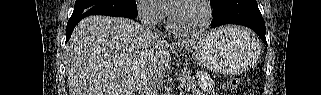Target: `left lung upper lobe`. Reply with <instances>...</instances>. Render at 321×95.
<instances>
[{
  "label": "left lung upper lobe",
  "instance_id": "1",
  "mask_svg": "<svg viewBox=\"0 0 321 95\" xmlns=\"http://www.w3.org/2000/svg\"><path fill=\"white\" fill-rule=\"evenodd\" d=\"M221 0H210L211 6L218 4Z\"/></svg>",
  "mask_w": 321,
  "mask_h": 95
}]
</instances>
